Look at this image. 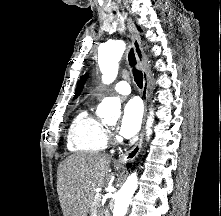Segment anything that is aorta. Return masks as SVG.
I'll return each mask as SVG.
<instances>
[{"instance_id": "obj_1", "label": "aorta", "mask_w": 221, "mask_h": 216, "mask_svg": "<svg viewBox=\"0 0 221 216\" xmlns=\"http://www.w3.org/2000/svg\"><path fill=\"white\" fill-rule=\"evenodd\" d=\"M125 51V43L122 40L109 41L100 46L98 51V64L102 73V81L105 84L112 83L118 74L119 61ZM120 101L114 98H104L97 108L100 118L117 117L120 113ZM153 123V112H150L146 124V134L149 139ZM138 187L137 173H132L120 190L115 194L113 216H125L133 194Z\"/></svg>"}]
</instances>
